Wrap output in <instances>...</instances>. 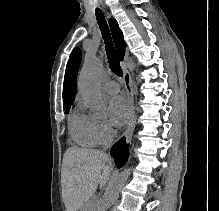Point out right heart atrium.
<instances>
[{
  "instance_id": "obj_1",
  "label": "right heart atrium",
  "mask_w": 219,
  "mask_h": 211,
  "mask_svg": "<svg viewBox=\"0 0 219 211\" xmlns=\"http://www.w3.org/2000/svg\"><path fill=\"white\" fill-rule=\"evenodd\" d=\"M95 131L99 141V144L103 146H109L112 144L116 132L107 120H97L95 121Z\"/></svg>"
}]
</instances>
